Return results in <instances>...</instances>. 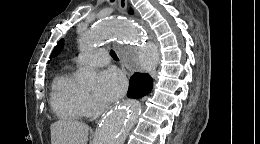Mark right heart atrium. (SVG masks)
Here are the masks:
<instances>
[{"label": "right heart atrium", "instance_id": "obj_1", "mask_svg": "<svg viewBox=\"0 0 260 144\" xmlns=\"http://www.w3.org/2000/svg\"><path fill=\"white\" fill-rule=\"evenodd\" d=\"M83 104L85 108V113H88L93 108V101L87 93H84Z\"/></svg>", "mask_w": 260, "mask_h": 144}]
</instances>
